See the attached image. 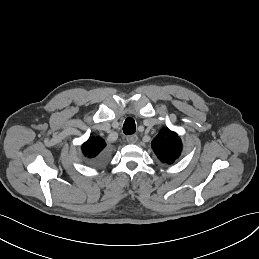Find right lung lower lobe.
<instances>
[{"label":"right lung lower lobe","mask_w":259,"mask_h":259,"mask_svg":"<svg viewBox=\"0 0 259 259\" xmlns=\"http://www.w3.org/2000/svg\"><path fill=\"white\" fill-rule=\"evenodd\" d=\"M103 161H104V159L100 160L99 162L101 163V162H103Z\"/></svg>","instance_id":"98d812e1"}]
</instances>
